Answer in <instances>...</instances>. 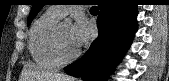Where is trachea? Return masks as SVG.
Listing matches in <instances>:
<instances>
[{"label": "trachea", "instance_id": "trachea-1", "mask_svg": "<svg viewBox=\"0 0 169 81\" xmlns=\"http://www.w3.org/2000/svg\"><path fill=\"white\" fill-rule=\"evenodd\" d=\"M91 10L96 11V10H98V7L93 6V7L91 8Z\"/></svg>", "mask_w": 169, "mask_h": 81}]
</instances>
